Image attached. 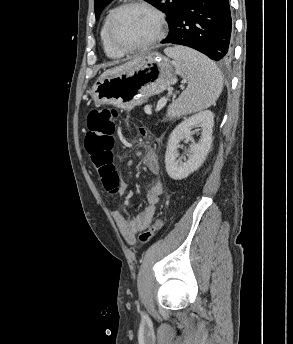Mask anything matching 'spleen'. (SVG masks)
Instances as JSON below:
<instances>
[{
  "label": "spleen",
  "instance_id": "3e777b00",
  "mask_svg": "<svg viewBox=\"0 0 293 344\" xmlns=\"http://www.w3.org/2000/svg\"><path fill=\"white\" fill-rule=\"evenodd\" d=\"M164 52L175 60L181 75L188 81L186 90L169 106L167 116L180 117L214 104L223 89V77L216 64L187 47L166 48Z\"/></svg>",
  "mask_w": 293,
  "mask_h": 344
}]
</instances>
